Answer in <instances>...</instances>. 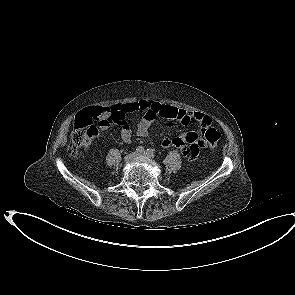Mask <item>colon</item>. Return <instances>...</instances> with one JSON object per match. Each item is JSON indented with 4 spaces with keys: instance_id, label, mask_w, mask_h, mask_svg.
I'll return each mask as SVG.
<instances>
[{
    "instance_id": "5ec220e1",
    "label": "colon",
    "mask_w": 295,
    "mask_h": 295,
    "mask_svg": "<svg viewBox=\"0 0 295 295\" xmlns=\"http://www.w3.org/2000/svg\"><path fill=\"white\" fill-rule=\"evenodd\" d=\"M107 113H109L108 108L97 107L76 117L71 132V143L68 147V153L71 157H77L79 149L88 145L97 136V124L100 117ZM202 132L207 144L214 150L219 139V132L211 124L203 125Z\"/></svg>"
}]
</instances>
